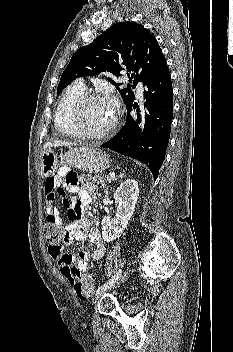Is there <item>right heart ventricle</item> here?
Instances as JSON below:
<instances>
[{
    "instance_id": "obj_1",
    "label": "right heart ventricle",
    "mask_w": 233,
    "mask_h": 352,
    "mask_svg": "<svg viewBox=\"0 0 233 352\" xmlns=\"http://www.w3.org/2000/svg\"><path fill=\"white\" fill-rule=\"evenodd\" d=\"M84 93L85 88L74 83L66 89L58 103L54 116V124L56 129L64 136H77L70 125L69 116L73 104Z\"/></svg>"
}]
</instances>
